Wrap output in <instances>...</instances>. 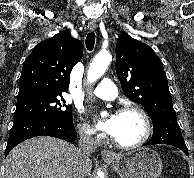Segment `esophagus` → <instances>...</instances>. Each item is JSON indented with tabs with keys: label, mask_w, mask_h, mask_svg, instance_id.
Masks as SVG:
<instances>
[{
	"label": "esophagus",
	"mask_w": 194,
	"mask_h": 178,
	"mask_svg": "<svg viewBox=\"0 0 194 178\" xmlns=\"http://www.w3.org/2000/svg\"><path fill=\"white\" fill-rule=\"evenodd\" d=\"M88 27H89V29H90L91 31H93V30L96 29L97 24H96L95 21H91V22L89 23ZM101 156H102V158H104V159H113V158L115 157L114 153H112L110 150H103V151L101 152Z\"/></svg>",
	"instance_id": "esophagus-1"
}]
</instances>
